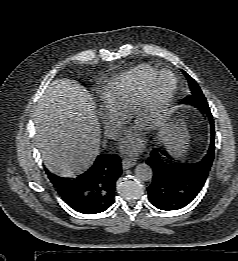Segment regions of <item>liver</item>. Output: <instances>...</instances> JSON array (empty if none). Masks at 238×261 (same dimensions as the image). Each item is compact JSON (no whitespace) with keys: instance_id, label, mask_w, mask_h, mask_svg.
Returning a JSON list of instances; mask_svg holds the SVG:
<instances>
[{"instance_id":"liver-1","label":"liver","mask_w":238,"mask_h":261,"mask_svg":"<svg viewBox=\"0 0 238 261\" xmlns=\"http://www.w3.org/2000/svg\"><path fill=\"white\" fill-rule=\"evenodd\" d=\"M90 94L69 79L52 81L35 110L36 144L45 166L71 174L97 154L100 126Z\"/></svg>"}]
</instances>
